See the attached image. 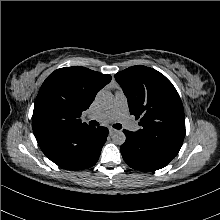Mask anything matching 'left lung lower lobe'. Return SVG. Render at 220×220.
I'll use <instances>...</instances> for the list:
<instances>
[{
	"instance_id": "0a47b994",
	"label": "left lung lower lobe",
	"mask_w": 220,
	"mask_h": 220,
	"mask_svg": "<svg viewBox=\"0 0 220 220\" xmlns=\"http://www.w3.org/2000/svg\"><path fill=\"white\" fill-rule=\"evenodd\" d=\"M126 141L120 150L125 162L133 169L155 171L165 167L176 155L146 141L133 132L123 130Z\"/></svg>"
}]
</instances>
